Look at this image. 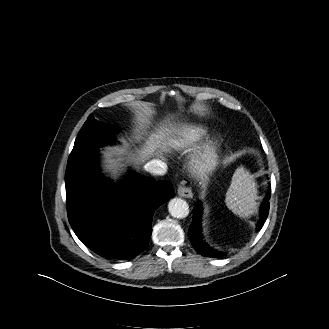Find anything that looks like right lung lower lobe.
Returning <instances> with one entry per match:
<instances>
[{
  "mask_svg": "<svg viewBox=\"0 0 329 329\" xmlns=\"http://www.w3.org/2000/svg\"><path fill=\"white\" fill-rule=\"evenodd\" d=\"M98 148L67 164L65 173L69 223L96 254L129 260L143 252L152 233L154 211L174 196L167 180L132 174L121 185L99 175Z\"/></svg>",
  "mask_w": 329,
  "mask_h": 329,
  "instance_id": "98d812e1",
  "label": "right lung lower lobe"
}]
</instances>
